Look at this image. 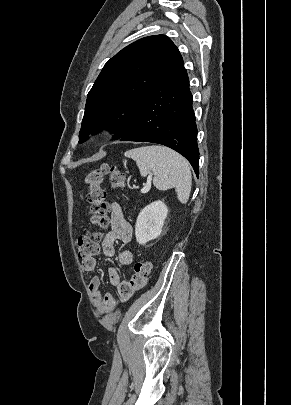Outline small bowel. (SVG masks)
<instances>
[{"label": "small bowel", "mask_w": 291, "mask_h": 405, "mask_svg": "<svg viewBox=\"0 0 291 405\" xmlns=\"http://www.w3.org/2000/svg\"><path fill=\"white\" fill-rule=\"evenodd\" d=\"M110 226L111 229L103 238L101 244L102 254L105 257H112L115 253V243L120 240L129 243L133 237V229L125 219L122 209L117 202L109 204ZM134 260V255L130 250H123L118 255V261L121 265H130ZM97 262L94 258L84 260L82 268L86 272H93L96 269ZM108 281L116 287L118 296L121 300L126 301L138 289L142 288L146 280H137L133 276L130 280H121L120 274L115 267L108 269ZM101 280L94 276L88 285L93 304L97 311L105 314L111 311L116 305V297L112 293H105L100 290Z\"/></svg>", "instance_id": "small-bowel-1"}]
</instances>
